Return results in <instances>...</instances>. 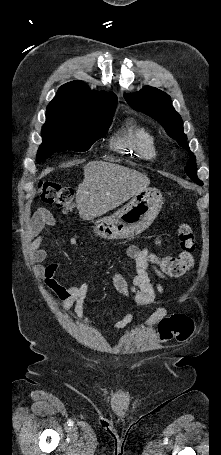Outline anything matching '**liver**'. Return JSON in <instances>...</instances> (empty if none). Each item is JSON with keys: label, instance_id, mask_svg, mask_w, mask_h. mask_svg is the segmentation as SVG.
<instances>
[{"label": "liver", "instance_id": "6515ba94", "mask_svg": "<svg viewBox=\"0 0 221 455\" xmlns=\"http://www.w3.org/2000/svg\"><path fill=\"white\" fill-rule=\"evenodd\" d=\"M150 179L128 167L105 161L84 166V179L76 190L79 216L91 220L117 208L146 189Z\"/></svg>", "mask_w": 221, "mask_h": 455}]
</instances>
